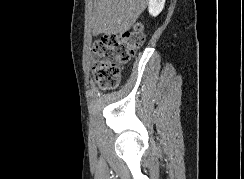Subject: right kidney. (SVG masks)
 Instances as JSON below:
<instances>
[{"label": "right kidney", "mask_w": 244, "mask_h": 179, "mask_svg": "<svg viewBox=\"0 0 244 179\" xmlns=\"http://www.w3.org/2000/svg\"><path fill=\"white\" fill-rule=\"evenodd\" d=\"M166 0H149V14L151 16H158L160 12H162L164 6H165Z\"/></svg>", "instance_id": "1"}]
</instances>
